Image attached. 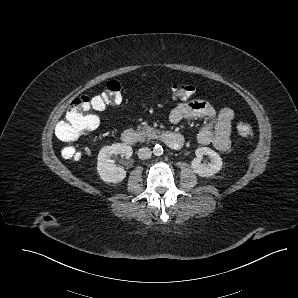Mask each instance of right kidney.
Segmentation results:
<instances>
[{"mask_svg":"<svg viewBox=\"0 0 298 298\" xmlns=\"http://www.w3.org/2000/svg\"><path fill=\"white\" fill-rule=\"evenodd\" d=\"M117 154L129 159L133 154V149L131 146L123 143H116L111 146H104L99 151L97 158V172L104 182L118 183L126 177L124 168L117 166L114 163V160L111 159L113 155Z\"/></svg>","mask_w":298,"mask_h":298,"instance_id":"right-kidney-1","label":"right kidney"}]
</instances>
